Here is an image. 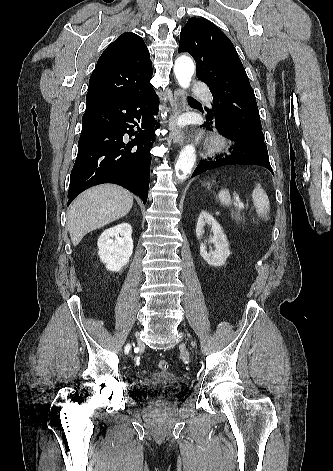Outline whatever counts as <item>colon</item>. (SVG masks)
<instances>
[{"instance_id":"5ec220e1","label":"colon","mask_w":333,"mask_h":471,"mask_svg":"<svg viewBox=\"0 0 333 471\" xmlns=\"http://www.w3.org/2000/svg\"><path fill=\"white\" fill-rule=\"evenodd\" d=\"M158 368L161 370V371H167L169 369V364L166 360L164 359H161L159 360L158 362Z\"/></svg>"}]
</instances>
